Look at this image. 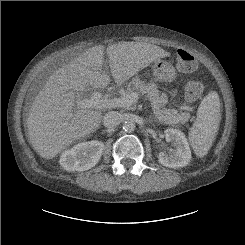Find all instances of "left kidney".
Instances as JSON below:
<instances>
[{"label":"left kidney","instance_id":"obj_1","mask_svg":"<svg viewBox=\"0 0 245 245\" xmlns=\"http://www.w3.org/2000/svg\"><path fill=\"white\" fill-rule=\"evenodd\" d=\"M164 133L166 141L172 142L175 150L170 155L163 152L158 153L159 163L169 168L187 166L191 159V151L184 133L173 128L166 129Z\"/></svg>","mask_w":245,"mask_h":245}]
</instances>
